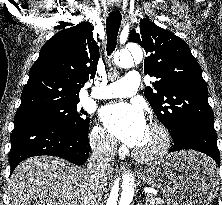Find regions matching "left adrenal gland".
<instances>
[{"mask_svg": "<svg viewBox=\"0 0 222 205\" xmlns=\"http://www.w3.org/2000/svg\"><path fill=\"white\" fill-rule=\"evenodd\" d=\"M137 205H143V201L140 200L139 203Z\"/></svg>", "mask_w": 222, "mask_h": 205, "instance_id": "1", "label": "left adrenal gland"}]
</instances>
